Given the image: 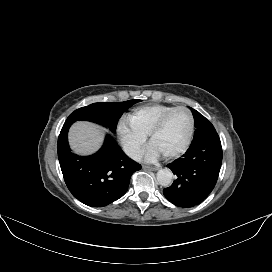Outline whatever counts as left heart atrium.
<instances>
[{"label":"left heart atrium","instance_id":"obj_1","mask_svg":"<svg viewBox=\"0 0 272 272\" xmlns=\"http://www.w3.org/2000/svg\"><path fill=\"white\" fill-rule=\"evenodd\" d=\"M144 155L147 160L152 161L160 157L161 153L153 144L150 143Z\"/></svg>","mask_w":272,"mask_h":272}]
</instances>
